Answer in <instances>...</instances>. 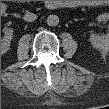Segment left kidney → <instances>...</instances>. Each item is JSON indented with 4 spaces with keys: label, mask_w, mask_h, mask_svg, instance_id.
Returning <instances> with one entry per match:
<instances>
[{
    "label": "left kidney",
    "mask_w": 109,
    "mask_h": 109,
    "mask_svg": "<svg viewBox=\"0 0 109 109\" xmlns=\"http://www.w3.org/2000/svg\"><path fill=\"white\" fill-rule=\"evenodd\" d=\"M98 22H107L109 21V15L107 13L101 14L97 17ZM90 42L94 48L106 51L109 48V34L104 35H95L90 36Z\"/></svg>",
    "instance_id": "obj_1"
}]
</instances>
